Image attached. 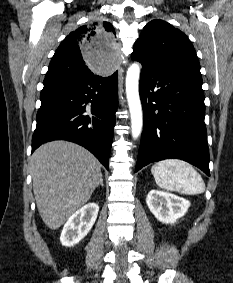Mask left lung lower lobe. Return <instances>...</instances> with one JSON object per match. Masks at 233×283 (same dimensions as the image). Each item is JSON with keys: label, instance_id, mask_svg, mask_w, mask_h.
Listing matches in <instances>:
<instances>
[{"label": "left lung lower lobe", "instance_id": "0a47b994", "mask_svg": "<svg viewBox=\"0 0 233 283\" xmlns=\"http://www.w3.org/2000/svg\"><path fill=\"white\" fill-rule=\"evenodd\" d=\"M141 64L144 128L135 171L152 162L176 158L210 176L201 73Z\"/></svg>", "mask_w": 233, "mask_h": 283}]
</instances>
